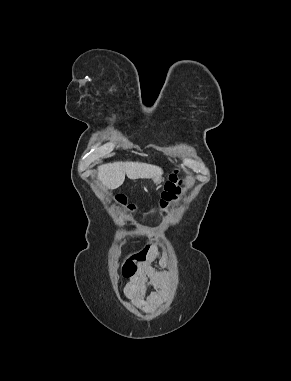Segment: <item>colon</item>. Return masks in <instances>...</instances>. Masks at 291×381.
<instances>
[{
    "label": "colon",
    "mask_w": 291,
    "mask_h": 381,
    "mask_svg": "<svg viewBox=\"0 0 291 381\" xmlns=\"http://www.w3.org/2000/svg\"><path fill=\"white\" fill-rule=\"evenodd\" d=\"M182 183L183 178L179 172L171 174L164 185L159 202L149 211V214L154 215L159 212H165L173 203L177 202L182 193ZM118 202L126 205V201L122 197L118 198ZM128 208L130 210L134 209L132 205H128ZM139 255H136V258Z\"/></svg>",
    "instance_id": "obj_1"
}]
</instances>
